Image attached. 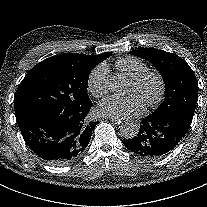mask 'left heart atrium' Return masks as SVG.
<instances>
[{"label":"left heart atrium","instance_id":"obj_1","mask_svg":"<svg viewBox=\"0 0 207 207\" xmlns=\"http://www.w3.org/2000/svg\"><path fill=\"white\" fill-rule=\"evenodd\" d=\"M145 104L136 94L119 97L111 95L98 105V112L112 119H130L143 113Z\"/></svg>","mask_w":207,"mask_h":207}]
</instances>
